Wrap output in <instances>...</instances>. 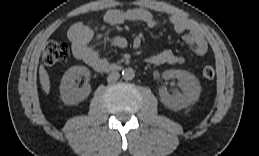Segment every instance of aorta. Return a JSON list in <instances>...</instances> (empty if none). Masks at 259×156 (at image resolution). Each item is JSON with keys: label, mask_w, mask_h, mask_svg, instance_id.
<instances>
[{"label": "aorta", "mask_w": 259, "mask_h": 156, "mask_svg": "<svg viewBox=\"0 0 259 156\" xmlns=\"http://www.w3.org/2000/svg\"><path fill=\"white\" fill-rule=\"evenodd\" d=\"M122 76L125 80H132L135 77V71L132 68H125L122 71Z\"/></svg>", "instance_id": "aorta-1"}]
</instances>
